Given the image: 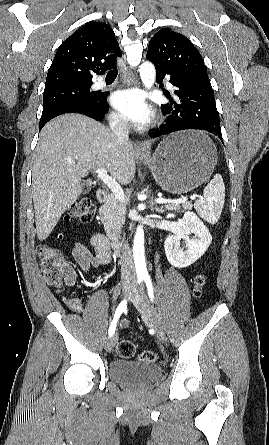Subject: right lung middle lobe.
Here are the masks:
<instances>
[{
    "mask_svg": "<svg viewBox=\"0 0 269 445\" xmlns=\"http://www.w3.org/2000/svg\"><path fill=\"white\" fill-rule=\"evenodd\" d=\"M91 85H66L45 89L40 127L58 115L77 110H91L97 106L103 95L90 92Z\"/></svg>",
    "mask_w": 269,
    "mask_h": 445,
    "instance_id": "dd1d6c3e",
    "label": "right lung middle lobe"
}]
</instances>
